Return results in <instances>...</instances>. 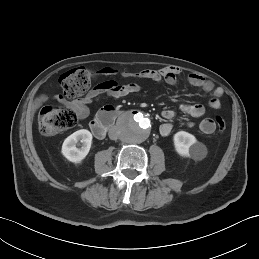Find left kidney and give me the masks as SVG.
<instances>
[{"mask_svg": "<svg viewBox=\"0 0 259 259\" xmlns=\"http://www.w3.org/2000/svg\"><path fill=\"white\" fill-rule=\"evenodd\" d=\"M173 141L176 152L183 157H194L196 151L203 147L202 144L197 142L194 135L185 131L177 132Z\"/></svg>", "mask_w": 259, "mask_h": 259, "instance_id": "obj_1", "label": "left kidney"}]
</instances>
